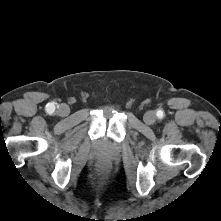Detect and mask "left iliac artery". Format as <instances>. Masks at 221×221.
<instances>
[{
    "label": "left iliac artery",
    "instance_id": "1",
    "mask_svg": "<svg viewBox=\"0 0 221 221\" xmlns=\"http://www.w3.org/2000/svg\"><path fill=\"white\" fill-rule=\"evenodd\" d=\"M157 116H158L159 118H162V117H163V111H158V112H157Z\"/></svg>",
    "mask_w": 221,
    "mask_h": 221
}]
</instances>
